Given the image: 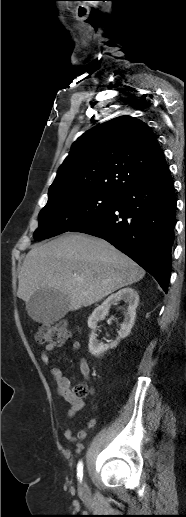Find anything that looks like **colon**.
<instances>
[{"instance_id":"1","label":"colon","mask_w":186,"mask_h":517,"mask_svg":"<svg viewBox=\"0 0 186 517\" xmlns=\"http://www.w3.org/2000/svg\"><path fill=\"white\" fill-rule=\"evenodd\" d=\"M69 335L67 325L65 323H58L55 325L41 324L35 334V339L40 344H50L61 342ZM89 393L85 385H78L75 388V394L79 397H85Z\"/></svg>"}]
</instances>
